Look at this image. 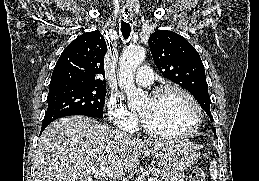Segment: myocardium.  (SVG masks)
I'll return each instance as SVG.
<instances>
[{"instance_id": "myocardium-1", "label": "myocardium", "mask_w": 259, "mask_h": 181, "mask_svg": "<svg viewBox=\"0 0 259 181\" xmlns=\"http://www.w3.org/2000/svg\"><path fill=\"white\" fill-rule=\"evenodd\" d=\"M171 90L177 91V92L181 93L182 95H184L189 100L191 105L193 106V108L195 110V114H196V120H195L194 126L192 128H190L189 130L181 131V132L160 131V130L152 128L147 123L144 116L140 113L139 115H140L141 126L147 134L154 136V137H159V138H187V137H190V136L194 135L195 133H197L198 130L201 128L202 123H203V111H202L200 104L196 100V98L187 89H185L184 87H182L178 84L168 83V84H164V85H161V86L155 88L150 93L149 97L151 99H155V98L159 97L161 94H163L167 91H171Z\"/></svg>"}]
</instances>
